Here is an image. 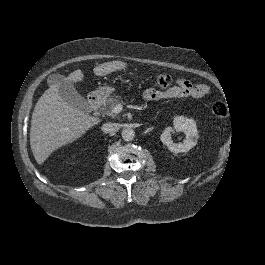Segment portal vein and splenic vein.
Masks as SVG:
<instances>
[{
	"mask_svg": "<svg viewBox=\"0 0 265 265\" xmlns=\"http://www.w3.org/2000/svg\"><path fill=\"white\" fill-rule=\"evenodd\" d=\"M122 108H123V106H122L121 104H117V105L114 107L113 112H114V113H119V112L122 111Z\"/></svg>",
	"mask_w": 265,
	"mask_h": 265,
	"instance_id": "1",
	"label": "portal vein and splenic vein"
}]
</instances>
